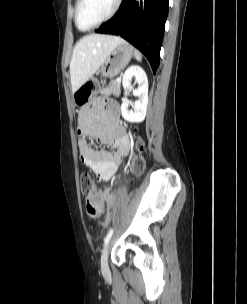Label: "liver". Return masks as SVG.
<instances>
[{"label":"liver","instance_id":"liver-1","mask_svg":"<svg viewBox=\"0 0 247 304\" xmlns=\"http://www.w3.org/2000/svg\"><path fill=\"white\" fill-rule=\"evenodd\" d=\"M125 41L116 36L91 34L80 39L70 62L72 92L80 88L104 63L110 53Z\"/></svg>","mask_w":247,"mask_h":304}]
</instances>
